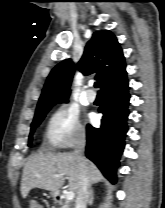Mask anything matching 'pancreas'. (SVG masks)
<instances>
[{
	"label": "pancreas",
	"mask_w": 165,
	"mask_h": 208,
	"mask_svg": "<svg viewBox=\"0 0 165 208\" xmlns=\"http://www.w3.org/2000/svg\"><path fill=\"white\" fill-rule=\"evenodd\" d=\"M60 208H70V205L68 202H65Z\"/></svg>",
	"instance_id": "1"
}]
</instances>
